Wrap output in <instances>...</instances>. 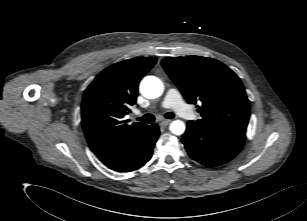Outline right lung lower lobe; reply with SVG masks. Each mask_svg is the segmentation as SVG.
Here are the masks:
<instances>
[{
    "label": "right lung lower lobe",
    "mask_w": 307,
    "mask_h": 221,
    "mask_svg": "<svg viewBox=\"0 0 307 221\" xmlns=\"http://www.w3.org/2000/svg\"><path fill=\"white\" fill-rule=\"evenodd\" d=\"M159 137L158 125L146 126L131 142L106 161L107 167L120 172H129L143 166L152 155Z\"/></svg>",
    "instance_id": "right-lung-lower-lobe-1"
}]
</instances>
